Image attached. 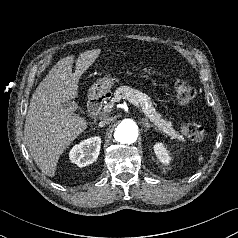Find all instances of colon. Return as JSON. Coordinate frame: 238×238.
I'll list each match as a JSON object with an SVG mask.
<instances>
[{
	"mask_svg": "<svg viewBox=\"0 0 238 238\" xmlns=\"http://www.w3.org/2000/svg\"><path fill=\"white\" fill-rule=\"evenodd\" d=\"M149 72L148 69H144ZM175 96L180 104L186 105L192 102L196 96L195 89L186 82L178 81L174 86ZM182 133L189 139L200 142L204 137V128L197 123H185L181 127Z\"/></svg>",
	"mask_w": 238,
	"mask_h": 238,
	"instance_id": "5ec220e1",
	"label": "colon"
}]
</instances>
